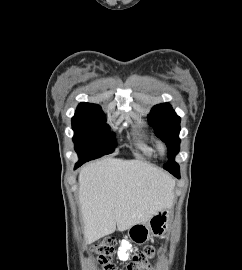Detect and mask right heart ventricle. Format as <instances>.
<instances>
[{
  "instance_id": "obj_1",
  "label": "right heart ventricle",
  "mask_w": 242,
  "mask_h": 270,
  "mask_svg": "<svg viewBox=\"0 0 242 270\" xmlns=\"http://www.w3.org/2000/svg\"><path fill=\"white\" fill-rule=\"evenodd\" d=\"M136 145L141 151L145 152L146 154L151 155L154 152L151 144L142 138L137 139Z\"/></svg>"
}]
</instances>
